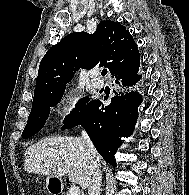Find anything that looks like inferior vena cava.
Returning a JSON list of instances; mask_svg holds the SVG:
<instances>
[{"label":"inferior vena cava","instance_id":"inferior-vena-cava-1","mask_svg":"<svg viewBox=\"0 0 189 195\" xmlns=\"http://www.w3.org/2000/svg\"><path fill=\"white\" fill-rule=\"evenodd\" d=\"M81 138L83 139L87 146V156L90 164L89 165L90 177L87 186L88 195H100L101 170L99 154L85 130H82Z\"/></svg>","mask_w":189,"mask_h":195}]
</instances>
